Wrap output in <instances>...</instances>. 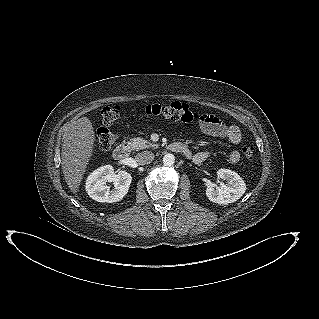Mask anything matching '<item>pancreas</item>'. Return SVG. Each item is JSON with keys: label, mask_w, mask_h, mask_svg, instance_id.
<instances>
[{"label": "pancreas", "mask_w": 319, "mask_h": 319, "mask_svg": "<svg viewBox=\"0 0 319 319\" xmlns=\"http://www.w3.org/2000/svg\"><path fill=\"white\" fill-rule=\"evenodd\" d=\"M127 144L131 147V149L133 150H141V149H145V148H149V147H156V144H152L151 142H149L148 140H145L143 138L140 137H134L132 139H130Z\"/></svg>", "instance_id": "cf45deb5"}]
</instances>
